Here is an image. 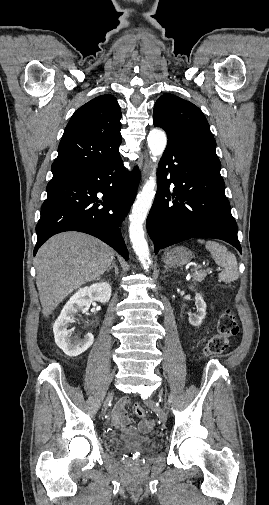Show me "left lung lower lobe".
Segmentation results:
<instances>
[{"label": "left lung lower lobe", "instance_id": "1", "mask_svg": "<svg viewBox=\"0 0 269 505\" xmlns=\"http://www.w3.org/2000/svg\"><path fill=\"white\" fill-rule=\"evenodd\" d=\"M167 135L158 166L157 193L146 222L155 254L198 237L224 240L241 253L215 149L179 134Z\"/></svg>", "mask_w": 269, "mask_h": 505}]
</instances>
